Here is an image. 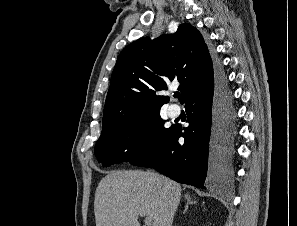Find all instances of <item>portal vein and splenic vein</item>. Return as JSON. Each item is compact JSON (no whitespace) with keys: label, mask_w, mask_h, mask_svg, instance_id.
Returning <instances> with one entry per match:
<instances>
[{"label":"portal vein and splenic vein","mask_w":297,"mask_h":226,"mask_svg":"<svg viewBox=\"0 0 297 226\" xmlns=\"http://www.w3.org/2000/svg\"><path fill=\"white\" fill-rule=\"evenodd\" d=\"M151 221H152L151 217H146V218H145V223H146V224L149 225V224L151 223Z\"/></svg>","instance_id":"1"}]
</instances>
